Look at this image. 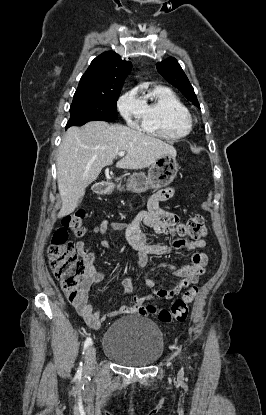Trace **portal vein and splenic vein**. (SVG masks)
<instances>
[{"mask_svg": "<svg viewBox=\"0 0 266 415\" xmlns=\"http://www.w3.org/2000/svg\"><path fill=\"white\" fill-rule=\"evenodd\" d=\"M118 155H119L120 157H122V156H124V155H125V152H124V151H120V152L118 153Z\"/></svg>", "mask_w": 266, "mask_h": 415, "instance_id": "1", "label": "portal vein and splenic vein"}]
</instances>
